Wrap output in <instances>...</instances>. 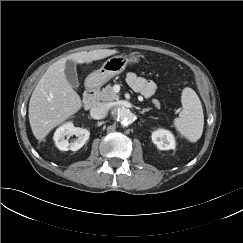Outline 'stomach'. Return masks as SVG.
<instances>
[{"instance_id":"stomach-1","label":"stomach","mask_w":243,"mask_h":243,"mask_svg":"<svg viewBox=\"0 0 243 243\" xmlns=\"http://www.w3.org/2000/svg\"><path fill=\"white\" fill-rule=\"evenodd\" d=\"M140 55L138 53H131L128 56H114L104 62L102 67L86 78V84L90 87H98L105 84L114 76L122 73L129 63H139Z\"/></svg>"}]
</instances>
